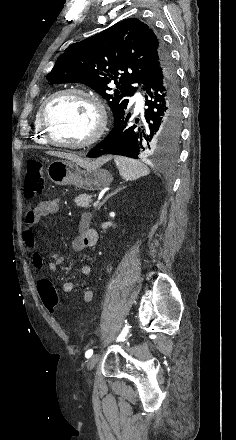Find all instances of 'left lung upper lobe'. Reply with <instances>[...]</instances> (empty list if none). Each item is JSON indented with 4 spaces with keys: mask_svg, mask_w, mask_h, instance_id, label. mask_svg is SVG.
Instances as JSON below:
<instances>
[{
    "mask_svg": "<svg viewBox=\"0 0 236 440\" xmlns=\"http://www.w3.org/2000/svg\"><path fill=\"white\" fill-rule=\"evenodd\" d=\"M168 52L162 38L139 19H125L81 42L70 45L47 80L53 84L78 82L99 93L114 119L127 109L152 59ZM114 81V94L108 85Z\"/></svg>",
    "mask_w": 236,
    "mask_h": 440,
    "instance_id": "1",
    "label": "left lung upper lobe"
}]
</instances>
